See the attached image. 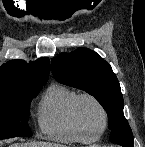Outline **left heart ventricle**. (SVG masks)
Segmentation results:
<instances>
[{"label":"left heart ventricle","mask_w":145,"mask_h":147,"mask_svg":"<svg viewBox=\"0 0 145 147\" xmlns=\"http://www.w3.org/2000/svg\"><path fill=\"white\" fill-rule=\"evenodd\" d=\"M78 113L82 126L89 135L97 134L102 129V114L92 101L88 99L82 100L79 103Z\"/></svg>","instance_id":"left-heart-ventricle-1"}]
</instances>
